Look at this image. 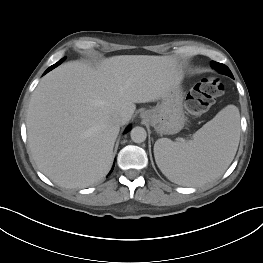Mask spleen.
Instances as JSON below:
<instances>
[{
  "instance_id": "spleen-1",
  "label": "spleen",
  "mask_w": 263,
  "mask_h": 263,
  "mask_svg": "<svg viewBox=\"0 0 263 263\" xmlns=\"http://www.w3.org/2000/svg\"><path fill=\"white\" fill-rule=\"evenodd\" d=\"M240 139V114L228 105L193 134L190 142L160 138L154 156L161 172L182 186H198L220 177L228 168Z\"/></svg>"
}]
</instances>
